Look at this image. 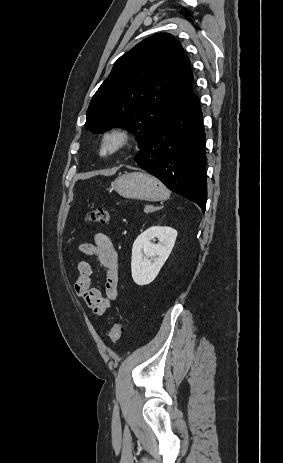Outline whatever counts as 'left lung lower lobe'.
Wrapping results in <instances>:
<instances>
[{
  "mask_svg": "<svg viewBox=\"0 0 283 463\" xmlns=\"http://www.w3.org/2000/svg\"><path fill=\"white\" fill-rule=\"evenodd\" d=\"M204 144L201 107L194 96L154 131L134 161L204 212L207 200Z\"/></svg>",
  "mask_w": 283,
  "mask_h": 463,
  "instance_id": "obj_1",
  "label": "left lung lower lobe"
}]
</instances>
